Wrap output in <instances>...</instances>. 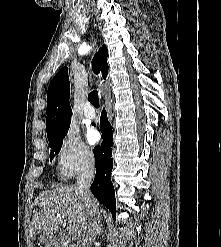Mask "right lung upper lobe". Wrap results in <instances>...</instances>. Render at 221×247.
Wrapping results in <instances>:
<instances>
[{
  "label": "right lung upper lobe",
  "mask_w": 221,
  "mask_h": 247,
  "mask_svg": "<svg viewBox=\"0 0 221 247\" xmlns=\"http://www.w3.org/2000/svg\"><path fill=\"white\" fill-rule=\"evenodd\" d=\"M108 49L103 45L92 60V67L95 73L102 72L105 79L108 73L107 64ZM70 82L68 69L63 67L51 81L47 92V137L51 138L62 133L70 126L72 110L69 104Z\"/></svg>",
  "instance_id": "right-lung-upper-lobe-1"
}]
</instances>
